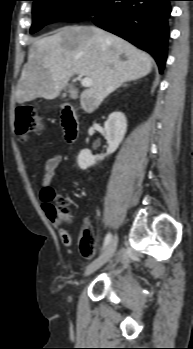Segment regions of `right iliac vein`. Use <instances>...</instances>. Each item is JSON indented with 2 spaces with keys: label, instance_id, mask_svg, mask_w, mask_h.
<instances>
[{
  "label": "right iliac vein",
  "instance_id": "right-iliac-vein-1",
  "mask_svg": "<svg viewBox=\"0 0 193 349\" xmlns=\"http://www.w3.org/2000/svg\"><path fill=\"white\" fill-rule=\"evenodd\" d=\"M118 244L117 235L111 240L105 251L93 261L85 270V276H88L103 266L114 254Z\"/></svg>",
  "mask_w": 193,
  "mask_h": 349
}]
</instances>
